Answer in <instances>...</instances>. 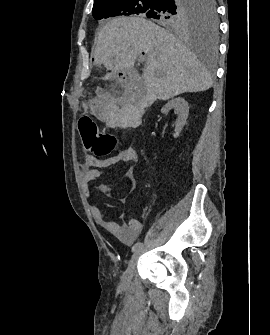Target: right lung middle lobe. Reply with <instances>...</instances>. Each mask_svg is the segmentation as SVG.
I'll list each match as a JSON object with an SVG mask.
<instances>
[{"mask_svg":"<svg viewBox=\"0 0 270 335\" xmlns=\"http://www.w3.org/2000/svg\"><path fill=\"white\" fill-rule=\"evenodd\" d=\"M138 14L171 29L203 28L211 38L218 28L214 0H99L92 10L96 20Z\"/></svg>","mask_w":270,"mask_h":335,"instance_id":"right-lung-middle-lobe-1","label":"right lung middle lobe"}]
</instances>
